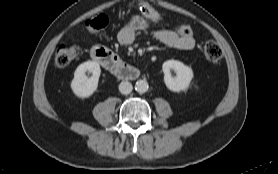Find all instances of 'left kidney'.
<instances>
[{
  "label": "left kidney",
  "instance_id": "5707ae66",
  "mask_svg": "<svg viewBox=\"0 0 278 174\" xmlns=\"http://www.w3.org/2000/svg\"><path fill=\"white\" fill-rule=\"evenodd\" d=\"M164 82L166 87L173 92L185 91L189 88L193 79L192 68L177 60H168L163 63ZM170 70L176 72V77H172Z\"/></svg>",
  "mask_w": 278,
  "mask_h": 174
}]
</instances>
